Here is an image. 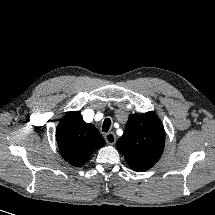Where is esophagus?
Masks as SVG:
<instances>
[{
  "mask_svg": "<svg viewBox=\"0 0 215 215\" xmlns=\"http://www.w3.org/2000/svg\"><path fill=\"white\" fill-rule=\"evenodd\" d=\"M104 138H105V141H106L108 144H110V145H112V144H114V143L116 142V136H115V134H114L113 132L107 133V134L104 136Z\"/></svg>",
  "mask_w": 215,
  "mask_h": 215,
  "instance_id": "esophagus-1",
  "label": "esophagus"
}]
</instances>
